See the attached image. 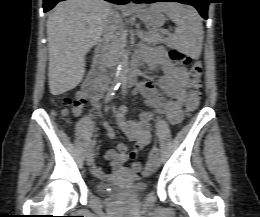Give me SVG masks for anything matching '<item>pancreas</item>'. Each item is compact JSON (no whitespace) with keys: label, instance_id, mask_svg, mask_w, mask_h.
I'll list each match as a JSON object with an SVG mask.
<instances>
[{"label":"pancreas","instance_id":"pancreas-1","mask_svg":"<svg viewBox=\"0 0 260 217\" xmlns=\"http://www.w3.org/2000/svg\"><path fill=\"white\" fill-rule=\"evenodd\" d=\"M139 37L143 42L151 45H156L158 43L164 42L163 37L155 30H151L149 32L139 34ZM125 38H126V33L121 32V34L119 35V40L116 45V48L111 52L113 55L115 56L119 55L122 47L125 44Z\"/></svg>","mask_w":260,"mask_h":217}]
</instances>
